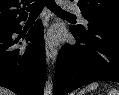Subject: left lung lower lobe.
Returning a JSON list of instances; mask_svg holds the SVG:
<instances>
[{
  "label": "left lung lower lobe",
  "instance_id": "left-lung-lower-lobe-1",
  "mask_svg": "<svg viewBox=\"0 0 119 95\" xmlns=\"http://www.w3.org/2000/svg\"><path fill=\"white\" fill-rule=\"evenodd\" d=\"M77 40L65 45L57 58L54 95H65L95 81L119 82V28L70 26Z\"/></svg>",
  "mask_w": 119,
  "mask_h": 95
}]
</instances>
